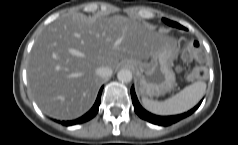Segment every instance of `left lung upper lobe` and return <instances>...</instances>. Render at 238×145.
I'll return each instance as SVG.
<instances>
[{
  "label": "left lung upper lobe",
  "mask_w": 238,
  "mask_h": 145,
  "mask_svg": "<svg viewBox=\"0 0 238 145\" xmlns=\"http://www.w3.org/2000/svg\"><path fill=\"white\" fill-rule=\"evenodd\" d=\"M163 21H164L166 24L170 25V26L179 28V24L176 23V22L170 21V20L165 19V18L163 19Z\"/></svg>",
  "instance_id": "1"
}]
</instances>
